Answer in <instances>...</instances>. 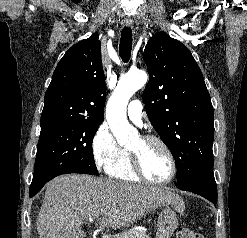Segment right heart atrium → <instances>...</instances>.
Instances as JSON below:
<instances>
[{"mask_svg": "<svg viewBox=\"0 0 247 238\" xmlns=\"http://www.w3.org/2000/svg\"><path fill=\"white\" fill-rule=\"evenodd\" d=\"M91 150L96 168L107 172L119 159L123 149L117 143L108 124L103 122L92 137Z\"/></svg>", "mask_w": 247, "mask_h": 238, "instance_id": "d8ad5b80", "label": "right heart atrium"}]
</instances>
